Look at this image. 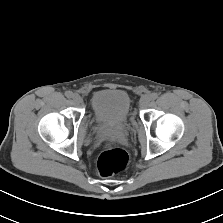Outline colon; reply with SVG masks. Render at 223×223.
Returning <instances> with one entry per match:
<instances>
[{"label": "colon", "mask_w": 223, "mask_h": 223, "mask_svg": "<svg viewBox=\"0 0 223 223\" xmlns=\"http://www.w3.org/2000/svg\"><path fill=\"white\" fill-rule=\"evenodd\" d=\"M129 162L128 153L118 147L104 150L97 160V168L101 176L109 177L123 171Z\"/></svg>", "instance_id": "obj_1"}]
</instances>
